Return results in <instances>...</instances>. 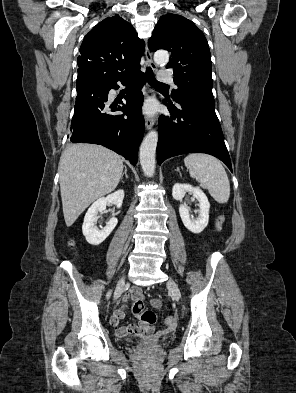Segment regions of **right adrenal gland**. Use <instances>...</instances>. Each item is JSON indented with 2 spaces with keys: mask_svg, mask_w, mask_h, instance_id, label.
<instances>
[{
  "mask_svg": "<svg viewBox=\"0 0 296 393\" xmlns=\"http://www.w3.org/2000/svg\"><path fill=\"white\" fill-rule=\"evenodd\" d=\"M124 175H125L126 178H128V175H127V167H126V166H124V173H123L122 176H121V181H122Z\"/></svg>",
  "mask_w": 296,
  "mask_h": 393,
  "instance_id": "1",
  "label": "right adrenal gland"
}]
</instances>
